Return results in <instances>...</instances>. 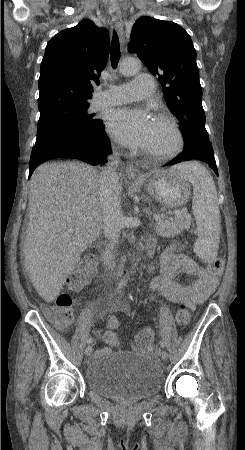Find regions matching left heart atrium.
Instances as JSON below:
<instances>
[{
	"label": "left heart atrium",
	"mask_w": 245,
	"mask_h": 450,
	"mask_svg": "<svg viewBox=\"0 0 245 450\" xmlns=\"http://www.w3.org/2000/svg\"><path fill=\"white\" fill-rule=\"evenodd\" d=\"M110 134L122 144L132 148H145L151 138L153 121L144 109L120 107L107 117Z\"/></svg>",
	"instance_id": "left-heart-atrium-1"
}]
</instances>
